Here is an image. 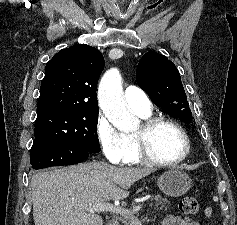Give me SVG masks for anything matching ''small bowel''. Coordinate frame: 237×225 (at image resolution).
<instances>
[{"instance_id": "1", "label": "small bowel", "mask_w": 237, "mask_h": 225, "mask_svg": "<svg viewBox=\"0 0 237 225\" xmlns=\"http://www.w3.org/2000/svg\"><path fill=\"white\" fill-rule=\"evenodd\" d=\"M162 225H200L195 220L185 219L180 216H168L164 219Z\"/></svg>"}]
</instances>
